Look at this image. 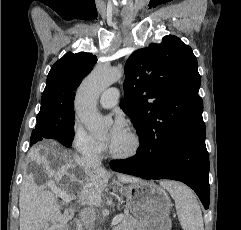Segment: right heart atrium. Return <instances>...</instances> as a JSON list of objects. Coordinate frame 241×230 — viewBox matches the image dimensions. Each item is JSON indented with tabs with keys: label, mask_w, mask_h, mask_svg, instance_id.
I'll use <instances>...</instances> for the list:
<instances>
[{
	"label": "right heart atrium",
	"mask_w": 241,
	"mask_h": 230,
	"mask_svg": "<svg viewBox=\"0 0 241 230\" xmlns=\"http://www.w3.org/2000/svg\"><path fill=\"white\" fill-rule=\"evenodd\" d=\"M71 143L79 154L87 157H97L105 149L104 143L92 136L79 122L74 124Z\"/></svg>",
	"instance_id": "1"
}]
</instances>
